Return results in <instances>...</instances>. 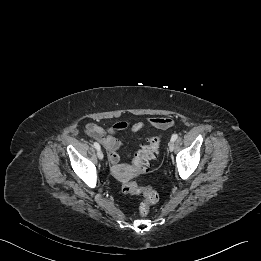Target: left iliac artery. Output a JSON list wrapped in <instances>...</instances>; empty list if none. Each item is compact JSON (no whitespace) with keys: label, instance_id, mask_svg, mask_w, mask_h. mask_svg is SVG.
Masks as SVG:
<instances>
[{"label":"left iliac artery","instance_id":"1","mask_svg":"<svg viewBox=\"0 0 261 261\" xmlns=\"http://www.w3.org/2000/svg\"><path fill=\"white\" fill-rule=\"evenodd\" d=\"M178 138V134H173L171 137V141H175Z\"/></svg>","mask_w":261,"mask_h":261}]
</instances>
